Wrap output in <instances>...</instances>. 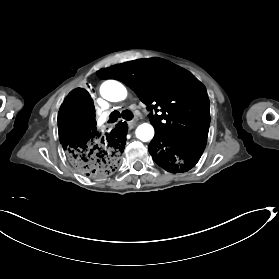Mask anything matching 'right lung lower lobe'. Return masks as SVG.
Instances as JSON below:
<instances>
[{"mask_svg":"<svg viewBox=\"0 0 279 279\" xmlns=\"http://www.w3.org/2000/svg\"><path fill=\"white\" fill-rule=\"evenodd\" d=\"M60 142L70 165L91 177H105L119 166L126 142L124 123L116 124L109 133L96 128L95 108L89 93L73 90L58 112Z\"/></svg>","mask_w":279,"mask_h":279,"instance_id":"right-lung-lower-lobe-1","label":"right lung lower lobe"}]
</instances>
